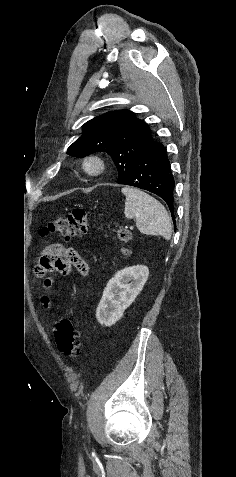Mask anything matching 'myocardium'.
Instances as JSON below:
<instances>
[{"label":"myocardium","instance_id":"myocardium-1","mask_svg":"<svg viewBox=\"0 0 236 477\" xmlns=\"http://www.w3.org/2000/svg\"><path fill=\"white\" fill-rule=\"evenodd\" d=\"M81 167L85 174L95 177L103 173L105 162L96 155H88L83 158Z\"/></svg>","mask_w":236,"mask_h":477}]
</instances>
